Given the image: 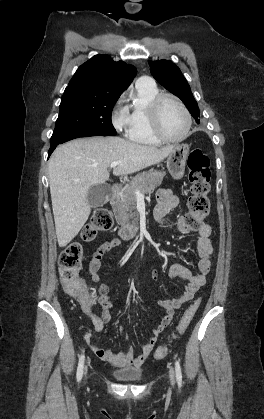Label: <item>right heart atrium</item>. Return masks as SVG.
Returning a JSON list of instances; mask_svg holds the SVG:
<instances>
[{
	"label": "right heart atrium",
	"instance_id": "obj_1",
	"mask_svg": "<svg viewBox=\"0 0 264 419\" xmlns=\"http://www.w3.org/2000/svg\"><path fill=\"white\" fill-rule=\"evenodd\" d=\"M112 123L118 132H124L129 126V115L126 110H115L112 114Z\"/></svg>",
	"mask_w": 264,
	"mask_h": 419
}]
</instances>
